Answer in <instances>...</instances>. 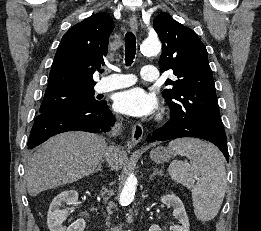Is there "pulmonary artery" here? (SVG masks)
<instances>
[{"mask_svg":"<svg viewBox=\"0 0 261 231\" xmlns=\"http://www.w3.org/2000/svg\"><path fill=\"white\" fill-rule=\"evenodd\" d=\"M141 77L144 81L154 82L158 78L157 68L151 65L142 67ZM135 83V77L131 74L112 73L99 83L102 92L129 87Z\"/></svg>","mask_w":261,"mask_h":231,"instance_id":"1","label":"pulmonary artery"}]
</instances>
